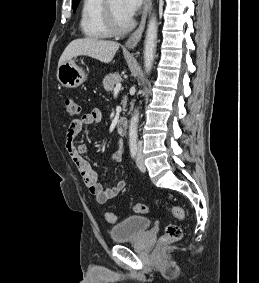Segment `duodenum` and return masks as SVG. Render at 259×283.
<instances>
[{
  "label": "duodenum",
  "instance_id": "1",
  "mask_svg": "<svg viewBox=\"0 0 259 283\" xmlns=\"http://www.w3.org/2000/svg\"><path fill=\"white\" fill-rule=\"evenodd\" d=\"M128 129V119L126 117H121L117 123V133L120 136H124Z\"/></svg>",
  "mask_w": 259,
  "mask_h": 283
}]
</instances>
